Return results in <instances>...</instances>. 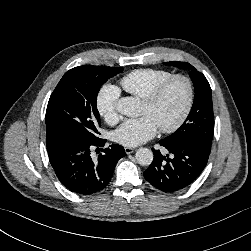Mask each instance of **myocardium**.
<instances>
[{"label":"myocardium","instance_id":"f54148a6","mask_svg":"<svg viewBox=\"0 0 251 251\" xmlns=\"http://www.w3.org/2000/svg\"><path fill=\"white\" fill-rule=\"evenodd\" d=\"M176 81H182L186 87L187 96H186L185 106H184L180 116L178 117V119L174 123L167 125V126H159L158 127L162 133H173V132L177 131L187 120V118L192 110L193 103H194L195 93H194V85H193L192 80L184 74L172 75L170 78H168L162 84L157 86L149 95H147L143 99V102L147 106L155 105L160 100V98L163 96V94L168 90V88Z\"/></svg>","mask_w":251,"mask_h":251}]
</instances>
